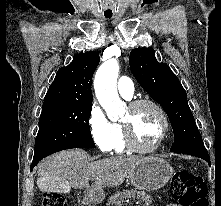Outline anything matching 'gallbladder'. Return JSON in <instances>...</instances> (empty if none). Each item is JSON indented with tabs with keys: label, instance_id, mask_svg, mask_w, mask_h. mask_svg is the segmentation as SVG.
Listing matches in <instances>:
<instances>
[{
	"label": "gallbladder",
	"instance_id": "1",
	"mask_svg": "<svg viewBox=\"0 0 221 206\" xmlns=\"http://www.w3.org/2000/svg\"><path fill=\"white\" fill-rule=\"evenodd\" d=\"M69 181H38V190H44V194H66Z\"/></svg>",
	"mask_w": 221,
	"mask_h": 206
}]
</instances>
